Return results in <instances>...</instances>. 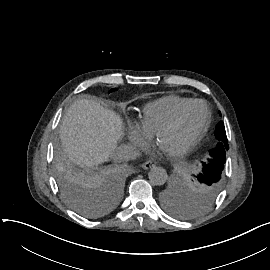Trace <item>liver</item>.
Returning a JSON list of instances; mask_svg holds the SVG:
<instances>
[{
    "label": "liver",
    "mask_w": 270,
    "mask_h": 270,
    "mask_svg": "<svg viewBox=\"0 0 270 270\" xmlns=\"http://www.w3.org/2000/svg\"><path fill=\"white\" fill-rule=\"evenodd\" d=\"M59 137L69 160L81 168H90L112 156L124 137L123 120L94 100L79 99L63 116Z\"/></svg>",
    "instance_id": "1"
}]
</instances>
